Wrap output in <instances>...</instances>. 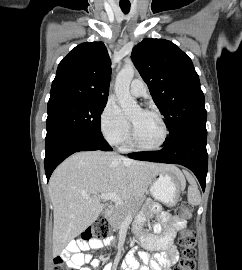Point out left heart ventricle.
<instances>
[{"mask_svg": "<svg viewBox=\"0 0 242 270\" xmlns=\"http://www.w3.org/2000/svg\"><path fill=\"white\" fill-rule=\"evenodd\" d=\"M129 119L135 128L137 140L142 145H155L161 140L162 126L155 115L137 109Z\"/></svg>", "mask_w": 242, "mask_h": 270, "instance_id": "1", "label": "left heart ventricle"}]
</instances>
